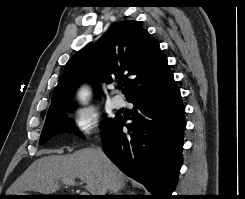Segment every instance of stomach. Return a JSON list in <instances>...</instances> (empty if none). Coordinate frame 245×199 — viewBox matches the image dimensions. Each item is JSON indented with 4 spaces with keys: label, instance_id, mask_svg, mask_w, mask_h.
<instances>
[{
    "label": "stomach",
    "instance_id": "obj_1",
    "mask_svg": "<svg viewBox=\"0 0 245 199\" xmlns=\"http://www.w3.org/2000/svg\"><path fill=\"white\" fill-rule=\"evenodd\" d=\"M18 195H30V194L22 193V194H18ZM48 195H49V194H48Z\"/></svg>",
    "mask_w": 245,
    "mask_h": 199
}]
</instances>
